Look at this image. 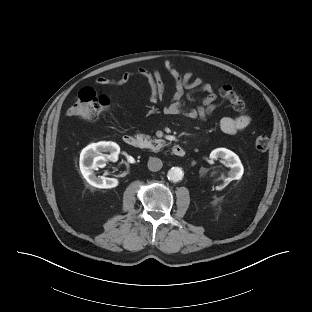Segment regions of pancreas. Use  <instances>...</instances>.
<instances>
[{"mask_svg":"<svg viewBox=\"0 0 312 312\" xmlns=\"http://www.w3.org/2000/svg\"><path fill=\"white\" fill-rule=\"evenodd\" d=\"M138 139L140 141V145L143 148H150L154 152H158L162 147L166 145V142L164 140L162 139L151 140L150 136L144 134H139ZM152 143H155L156 146H154Z\"/></svg>","mask_w":312,"mask_h":312,"instance_id":"1","label":"pancreas"}]
</instances>
